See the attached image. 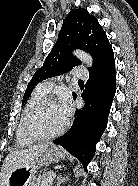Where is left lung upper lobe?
Returning <instances> with one entry per match:
<instances>
[{
  "label": "left lung upper lobe",
  "mask_w": 138,
  "mask_h": 186,
  "mask_svg": "<svg viewBox=\"0 0 138 186\" xmlns=\"http://www.w3.org/2000/svg\"><path fill=\"white\" fill-rule=\"evenodd\" d=\"M81 49L93 56L94 67L90 73L114 61L112 46L106 33L98 23L96 17L84 8L71 11L65 18L58 40L45 59L43 66L36 71L25 91L24 103L34 87L41 81L60 75L81 64L72 56V51ZM74 95V93H73Z\"/></svg>",
  "instance_id": "left-lung-upper-lobe-1"
}]
</instances>
